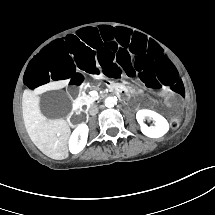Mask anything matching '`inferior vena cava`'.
<instances>
[{
  "mask_svg": "<svg viewBox=\"0 0 215 215\" xmlns=\"http://www.w3.org/2000/svg\"><path fill=\"white\" fill-rule=\"evenodd\" d=\"M98 113V107L96 105H92L89 107V114L94 116Z\"/></svg>",
  "mask_w": 215,
  "mask_h": 215,
  "instance_id": "obj_1",
  "label": "inferior vena cava"
}]
</instances>
